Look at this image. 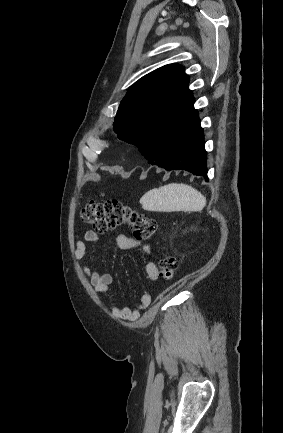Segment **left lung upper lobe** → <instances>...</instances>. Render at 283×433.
Listing matches in <instances>:
<instances>
[{
	"label": "left lung upper lobe",
	"instance_id": "obj_1",
	"mask_svg": "<svg viewBox=\"0 0 283 433\" xmlns=\"http://www.w3.org/2000/svg\"><path fill=\"white\" fill-rule=\"evenodd\" d=\"M184 68L165 65L134 83L121 101L114 129L118 138L136 145L155 126H180L195 117L194 98Z\"/></svg>",
	"mask_w": 283,
	"mask_h": 433
}]
</instances>
